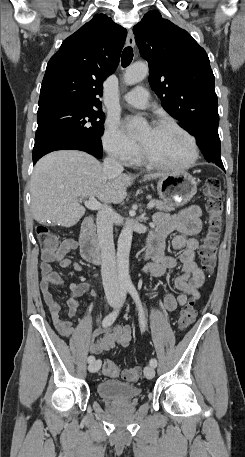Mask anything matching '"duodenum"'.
I'll return each mask as SVG.
<instances>
[{
	"label": "duodenum",
	"instance_id": "obj_1",
	"mask_svg": "<svg viewBox=\"0 0 245 457\" xmlns=\"http://www.w3.org/2000/svg\"><path fill=\"white\" fill-rule=\"evenodd\" d=\"M80 247L82 257L91 264H101L102 254L97 246L95 238V225L92 216L86 217L82 223L80 233ZM150 253L147 252L145 258H149Z\"/></svg>",
	"mask_w": 245,
	"mask_h": 457
}]
</instances>
